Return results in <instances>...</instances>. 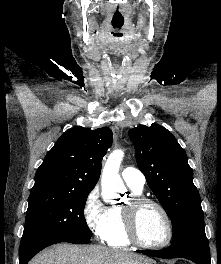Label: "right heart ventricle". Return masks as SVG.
<instances>
[{"label":"right heart ventricle","instance_id":"obj_1","mask_svg":"<svg viewBox=\"0 0 221 264\" xmlns=\"http://www.w3.org/2000/svg\"><path fill=\"white\" fill-rule=\"evenodd\" d=\"M133 195H141L142 190H137L132 187ZM111 209V220L108 232L104 238L105 242L112 247H127L131 244L128 240L122 216V207L113 206Z\"/></svg>","mask_w":221,"mask_h":264}]
</instances>
